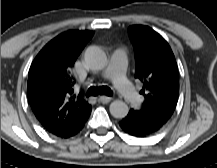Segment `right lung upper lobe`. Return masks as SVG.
I'll return each mask as SVG.
<instances>
[{
  "label": "right lung upper lobe",
  "mask_w": 217,
  "mask_h": 168,
  "mask_svg": "<svg viewBox=\"0 0 217 168\" xmlns=\"http://www.w3.org/2000/svg\"><path fill=\"white\" fill-rule=\"evenodd\" d=\"M93 36L92 31H67L38 53L29 70L27 94L36 118L53 135L60 136L82 123L91 106L72 95L75 60Z\"/></svg>",
  "instance_id": "obj_1"
}]
</instances>
